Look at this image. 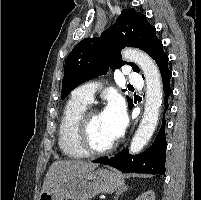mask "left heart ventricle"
<instances>
[{
  "mask_svg": "<svg viewBox=\"0 0 201 200\" xmlns=\"http://www.w3.org/2000/svg\"><path fill=\"white\" fill-rule=\"evenodd\" d=\"M87 139L89 144L96 149L107 147L115 141L102 114L91 118L87 130Z\"/></svg>",
  "mask_w": 201,
  "mask_h": 200,
  "instance_id": "left-heart-ventricle-1",
  "label": "left heart ventricle"
}]
</instances>
